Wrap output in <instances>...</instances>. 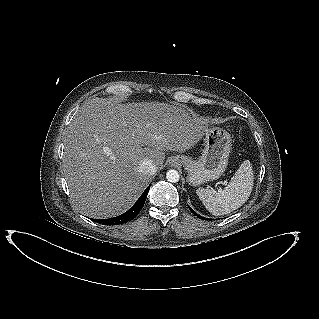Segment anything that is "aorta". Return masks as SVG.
Listing matches in <instances>:
<instances>
[{"mask_svg":"<svg viewBox=\"0 0 319 319\" xmlns=\"http://www.w3.org/2000/svg\"><path fill=\"white\" fill-rule=\"evenodd\" d=\"M166 178L169 182L176 183L179 181L180 175H179L178 171L171 169V170L167 171Z\"/></svg>","mask_w":319,"mask_h":319,"instance_id":"762f6f07","label":"aorta"}]
</instances>
